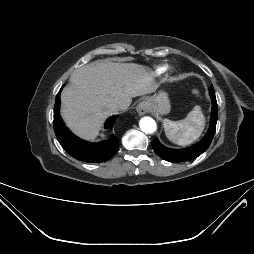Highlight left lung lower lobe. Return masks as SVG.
Returning <instances> with one entry per match:
<instances>
[{
	"instance_id": "left-lung-lower-lobe-1",
	"label": "left lung lower lobe",
	"mask_w": 254,
	"mask_h": 254,
	"mask_svg": "<svg viewBox=\"0 0 254 254\" xmlns=\"http://www.w3.org/2000/svg\"><path fill=\"white\" fill-rule=\"evenodd\" d=\"M210 97L212 100V113L210 119V127L204 138L197 144L184 149H170L163 146L158 139L152 142L154 151L164 160L169 162H185L197 158L210 145L216 129L217 123V101L213 87L209 88Z\"/></svg>"
}]
</instances>
